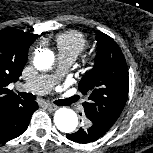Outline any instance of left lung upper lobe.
I'll return each mask as SVG.
<instances>
[{"label":"left lung upper lobe","mask_w":153,"mask_h":153,"mask_svg":"<svg viewBox=\"0 0 153 153\" xmlns=\"http://www.w3.org/2000/svg\"><path fill=\"white\" fill-rule=\"evenodd\" d=\"M94 67L79 82V90L88 96L82 105L91 126L106 133L121 114L128 97V68L117 43L108 35L96 36Z\"/></svg>","instance_id":"5c2ea615"}]
</instances>
